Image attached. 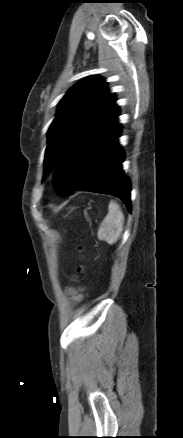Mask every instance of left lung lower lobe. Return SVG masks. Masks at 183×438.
<instances>
[{
    "label": "left lung lower lobe",
    "mask_w": 183,
    "mask_h": 438,
    "mask_svg": "<svg viewBox=\"0 0 183 438\" xmlns=\"http://www.w3.org/2000/svg\"><path fill=\"white\" fill-rule=\"evenodd\" d=\"M118 112L79 142L53 172L54 189L62 196L85 190L114 195L128 210L130 181L122 170L124 152L118 144Z\"/></svg>",
    "instance_id": "obj_1"
}]
</instances>
